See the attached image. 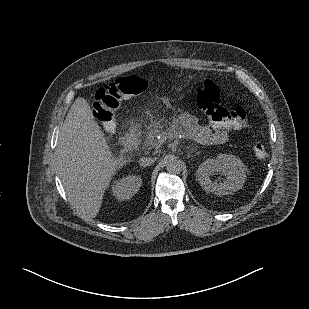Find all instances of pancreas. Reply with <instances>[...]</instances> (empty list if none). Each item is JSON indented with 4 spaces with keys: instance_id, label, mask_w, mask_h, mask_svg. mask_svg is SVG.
I'll use <instances>...</instances> for the list:
<instances>
[{
    "instance_id": "cf45deb5",
    "label": "pancreas",
    "mask_w": 309,
    "mask_h": 309,
    "mask_svg": "<svg viewBox=\"0 0 309 309\" xmlns=\"http://www.w3.org/2000/svg\"><path fill=\"white\" fill-rule=\"evenodd\" d=\"M168 131H172V129H158V128H154L151 129L150 131L146 132L143 136V145L145 147H149V148H154V149H158L161 147L163 138L161 139H157V137L160 135H167ZM176 131V130H175Z\"/></svg>"
}]
</instances>
